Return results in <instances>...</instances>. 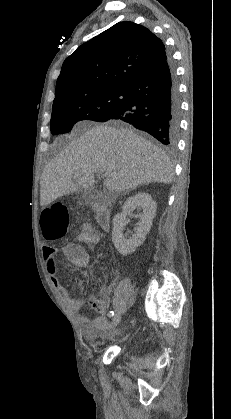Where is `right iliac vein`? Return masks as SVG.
Wrapping results in <instances>:
<instances>
[{
    "label": "right iliac vein",
    "instance_id": "1",
    "mask_svg": "<svg viewBox=\"0 0 231 419\" xmlns=\"http://www.w3.org/2000/svg\"><path fill=\"white\" fill-rule=\"evenodd\" d=\"M122 315L120 313L116 314L111 321V327L114 328L116 327L119 322L121 321Z\"/></svg>",
    "mask_w": 231,
    "mask_h": 419
}]
</instances>
